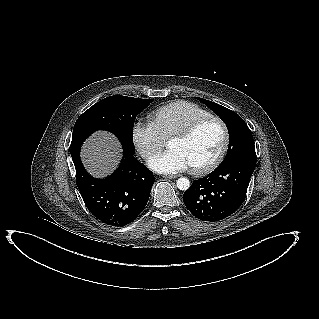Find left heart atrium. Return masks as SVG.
<instances>
[{
	"label": "left heart atrium",
	"instance_id": "39dd6f15",
	"mask_svg": "<svg viewBox=\"0 0 319 319\" xmlns=\"http://www.w3.org/2000/svg\"><path fill=\"white\" fill-rule=\"evenodd\" d=\"M149 167L160 173H178L189 168L186 158L175 149L157 154L149 161Z\"/></svg>",
	"mask_w": 319,
	"mask_h": 319
}]
</instances>
